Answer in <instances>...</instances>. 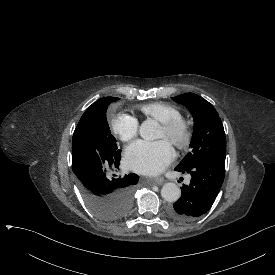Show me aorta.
<instances>
[{
	"mask_svg": "<svg viewBox=\"0 0 275 275\" xmlns=\"http://www.w3.org/2000/svg\"><path fill=\"white\" fill-rule=\"evenodd\" d=\"M159 123L153 119L143 122L139 129L140 136L144 140L152 141L159 137ZM162 198L168 202H175L181 195V190L174 182L165 183L161 188Z\"/></svg>",
	"mask_w": 275,
	"mask_h": 275,
	"instance_id": "aorta-1",
	"label": "aorta"
}]
</instances>
